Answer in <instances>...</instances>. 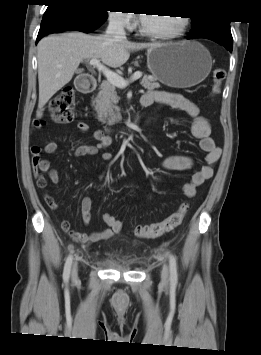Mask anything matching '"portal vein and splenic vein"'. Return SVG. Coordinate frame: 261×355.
Wrapping results in <instances>:
<instances>
[{"label": "portal vein and splenic vein", "instance_id": "18ae733b", "mask_svg": "<svg viewBox=\"0 0 261 355\" xmlns=\"http://www.w3.org/2000/svg\"><path fill=\"white\" fill-rule=\"evenodd\" d=\"M89 64L95 67L98 71L102 72L107 81H109L112 85L118 88H125L130 82L138 80L141 76V72H135L129 80H125L123 77L118 75L117 73L108 69L105 65H103L100 60L97 58H92L89 61Z\"/></svg>", "mask_w": 261, "mask_h": 355}]
</instances>
